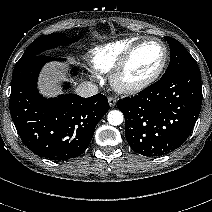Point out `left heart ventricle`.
Here are the masks:
<instances>
[{
    "instance_id": "b2bd125f",
    "label": "left heart ventricle",
    "mask_w": 212,
    "mask_h": 212,
    "mask_svg": "<svg viewBox=\"0 0 212 212\" xmlns=\"http://www.w3.org/2000/svg\"><path fill=\"white\" fill-rule=\"evenodd\" d=\"M163 58L161 45L150 42L142 45L134 54L125 73L127 81H138L153 73Z\"/></svg>"
}]
</instances>
